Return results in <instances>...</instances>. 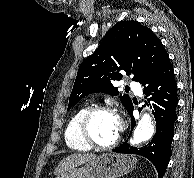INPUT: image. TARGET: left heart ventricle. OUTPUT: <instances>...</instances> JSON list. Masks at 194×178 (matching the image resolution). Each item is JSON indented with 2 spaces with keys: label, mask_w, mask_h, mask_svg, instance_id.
<instances>
[{
  "label": "left heart ventricle",
  "mask_w": 194,
  "mask_h": 178,
  "mask_svg": "<svg viewBox=\"0 0 194 178\" xmlns=\"http://www.w3.org/2000/svg\"><path fill=\"white\" fill-rule=\"evenodd\" d=\"M90 132L96 142L110 143L119 133L117 117L106 112L96 114L91 120Z\"/></svg>",
  "instance_id": "b2bd125f"
}]
</instances>
